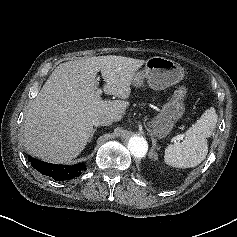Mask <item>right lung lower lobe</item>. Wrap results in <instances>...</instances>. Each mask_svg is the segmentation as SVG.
I'll use <instances>...</instances> for the list:
<instances>
[{"mask_svg":"<svg viewBox=\"0 0 237 237\" xmlns=\"http://www.w3.org/2000/svg\"><path fill=\"white\" fill-rule=\"evenodd\" d=\"M28 161L32 167L40 173L52 177L56 181L69 180L81 175L86 170L85 164H76L72 166L57 165L40 161L38 159L28 157Z\"/></svg>","mask_w":237,"mask_h":237,"instance_id":"obj_1","label":"right lung lower lobe"}]
</instances>
